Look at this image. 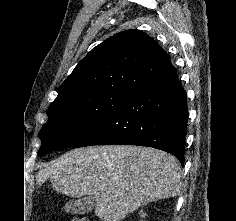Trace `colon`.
I'll list each match as a JSON object with an SVG mask.
<instances>
[{"instance_id":"1","label":"colon","mask_w":236,"mask_h":221,"mask_svg":"<svg viewBox=\"0 0 236 221\" xmlns=\"http://www.w3.org/2000/svg\"><path fill=\"white\" fill-rule=\"evenodd\" d=\"M70 221H91L85 217H73Z\"/></svg>"}]
</instances>
